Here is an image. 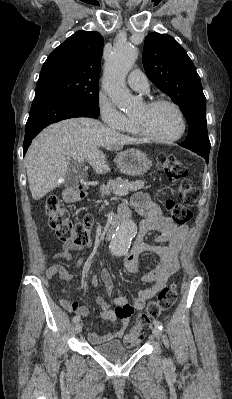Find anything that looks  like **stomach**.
<instances>
[{"label":"stomach","mask_w":232,"mask_h":399,"mask_svg":"<svg viewBox=\"0 0 232 399\" xmlns=\"http://www.w3.org/2000/svg\"><path fill=\"white\" fill-rule=\"evenodd\" d=\"M114 162L123 174H129V176L145 174L152 166V162L147 158V154L140 152V150H134V148L117 154Z\"/></svg>","instance_id":"1"}]
</instances>
